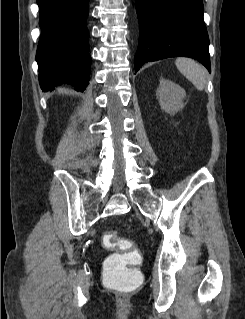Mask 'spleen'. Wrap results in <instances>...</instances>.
<instances>
[{
  "label": "spleen",
  "instance_id": "spleen-1",
  "mask_svg": "<svg viewBox=\"0 0 245 319\" xmlns=\"http://www.w3.org/2000/svg\"><path fill=\"white\" fill-rule=\"evenodd\" d=\"M175 64L178 70L193 83V85L202 91L206 84V70L198 62L186 57H179Z\"/></svg>",
  "mask_w": 245,
  "mask_h": 319
}]
</instances>
